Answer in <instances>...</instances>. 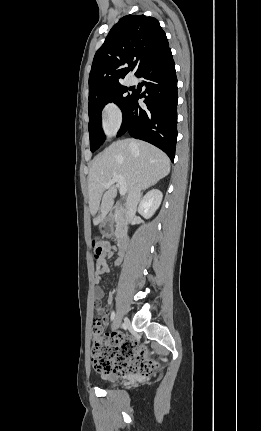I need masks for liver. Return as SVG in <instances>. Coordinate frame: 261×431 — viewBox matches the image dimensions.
<instances>
[{
  "instance_id": "obj_1",
  "label": "liver",
  "mask_w": 261,
  "mask_h": 431,
  "mask_svg": "<svg viewBox=\"0 0 261 431\" xmlns=\"http://www.w3.org/2000/svg\"><path fill=\"white\" fill-rule=\"evenodd\" d=\"M170 172V160L160 149L144 141L124 139L112 143L93 160L88 175L89 208L93 224L103 222L113 207L117 187L105 184L114 176L124 177L127 193L146 189ZM100 210V212H99Z\"/></svg>"
}]
</instances>
